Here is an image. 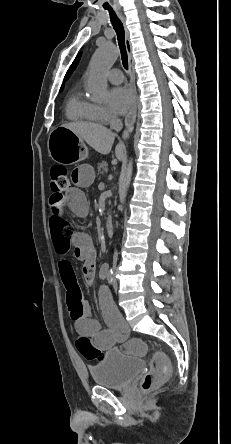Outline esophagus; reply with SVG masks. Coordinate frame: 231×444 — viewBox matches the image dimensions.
Here are the masks:
<instances>
[{"label":"esophagus","mask_w":231,"mask_h":444,"mask_svg":"<svg viewBox=\"0 0 231 444\" xmlns=\"http://www.w3.org/2000/svg\"><path fill=\"white\" fill-rule=\"evenodd\" d=\"M121 21L124 24L125 27V32H126V48H127V53H128V59H129V72H130V88H131V92H132V96H133V102H132V107L131 110L129 111V113L127 114V116L125 117L124 120V131L122 133V138L125 139L128 137L131 129L134 126L135 120H136V115H137V92H136V86H135V78H134V72H133V56H132V46H131V42L129 39V33L127 30V27L125 25V19L122 15H120Z\"/></svg>","instance_id":"34e87169"}]
</instances>
